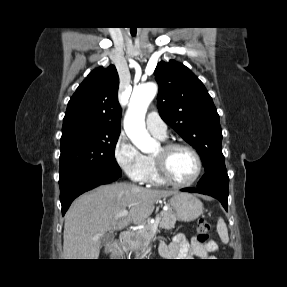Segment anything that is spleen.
I'll return each instance as SVG.
<instances>
[{
	"label": "spleen",
	"instance_id": "spleen-1",
	"mask_svg": "<svg viewBox=\"0 0 287 287\" xmlns=\"http://www.w3.org/2000/svg\"><path fill=\"white\" fill-rule=\"evenodd\" d=\"M217 232L221 238V241L224 244H227L229 242V236H228V229L227 226L223 220V218H219L217 222Z\"/></svg>",
	"mask_w": 287,
	"mask_h": 287
}]
</instances>
